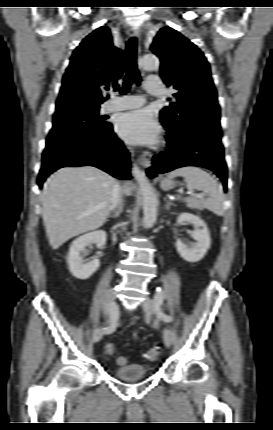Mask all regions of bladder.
<instances>
[{
  "label": "bladder",
  "mask_w": 273,
  "mask_h": 430,
  "mask_svg": "<svg viewBox=\"0 0 273 430\" xmlns=\"http://www.w3.org/2000/svg\"><path fill=\"white\" fill-rule=\"evenodd\" d=\"M113 374L121 381H137L147 376V368L137 363L126 364L115 369Z\"/></svg>",
  "instance_id": "31cf9c89"
}]
</instances>
